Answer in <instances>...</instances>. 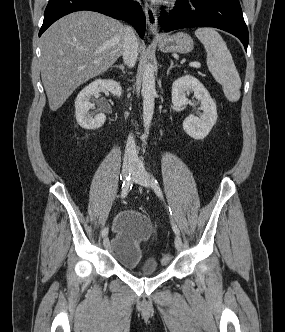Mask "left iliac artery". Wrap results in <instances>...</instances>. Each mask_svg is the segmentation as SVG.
Returning a JSON list of instances; mask_svg holds the SVG:
<instances>
[{"label": "left iliac artery", "mask_w": 285, "mask_h": 332, "mask_svg": "<svg viewBox=\"0 0 285 332\" xmlns=\"http://www.w3.org/2000/svg\"><path fill=\"white\" fill-rule=\"evenodd\" d=\"M151 184H152V187L156 193V195L160 198V199H163V194H162V190L158 184V181L151 175ZM169 212H170V215H172V212H171V209L169 208ZM171 225H172V229L174 231V233L176 235H179L180 232H179V229L177 227V225L171 220Z\"/></svg>", "instance_id": "obj_1"}]
</instances>
